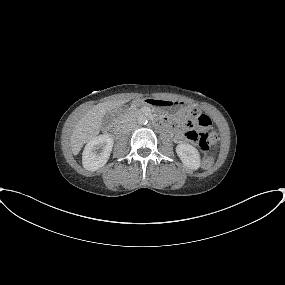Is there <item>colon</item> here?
Wrapping results in <instances>:
<instances>
[{"label": "colon", "mask_w": 285, "mask_h": 285, "mask_svg": "<svg viewBox=\"0 0 285 285\" xmlns=\"http://www.w3.org/2000/svg\"><path fill=\"white\" fill-rule=\"evenodd\" d=\"M183 122L190 127L186 131L185 137L192 142L198 144L199 148L205 153L201 165L203 168L208 169L214 163V157L211 154H207L210 145L213 144L216 139V133L213 131H207L210 127V118L205 114H197L193 110H188L182 117Z\"/></svg>", "instance_id": "colon-1"}]
</instances>
